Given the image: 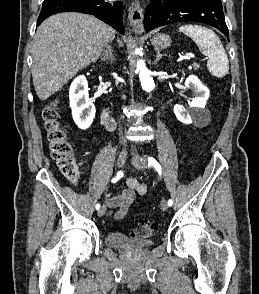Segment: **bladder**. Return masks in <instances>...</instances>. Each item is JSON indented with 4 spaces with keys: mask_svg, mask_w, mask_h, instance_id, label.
I'll list each match as a JSON object with an SVG mask.
<instances>
[{
    "mask_svg": "<svg viewBox=\"0 0 259 294\" xmlns=\"http://www.w3.org/2000/svg\"><path fill=\"white\" fill-rule=\"evenodd\" d=\"M105 242L113 248L125 251H141L149 247L152 241L141 237H132L121 232H110L106 235Z\"/></svg>",
    "mask_w": 259,
    "mask_h": 294,
    "instance_id": "1",
    "label": "bladder"
}]
</instances>
